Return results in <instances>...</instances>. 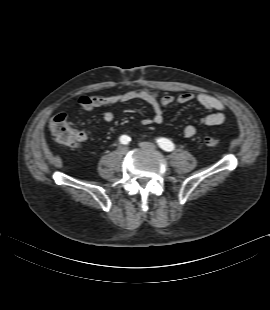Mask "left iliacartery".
Returning a JSON list of instances; mask_svg holds the SVG:
<instances>
[{
  "label": "left iliac artery",
  "instance_id": "44dca946",
  "mask_svg": "<svg viewBox=\"0 0 270 310\" xmlns=\"http://www.w3.org/2000/svg\"><path fill=\"white\" fill-rule=\"evenodd\" d=\"M157 144L160 148H162L165 151H172L175 148V145L166 138H159L157 139Z\"/></svg>",
  "mask_w": 270,
  "mask_h": 310
}]
</instances>
